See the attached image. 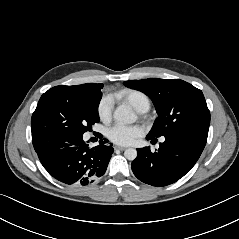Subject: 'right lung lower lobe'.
I'll use <instances>...</instances> for the list:
<instances>
[{
	"mask_svg": "<svg viewBox=\"0 0 239 239\" xmlns=\"http://www.w3.org/2000/svg\"><path fill=\"white\" fill-rule=\"evenodd\" d=\"M100 140L96 147H88L83 135H57L35 150L44 168L55 179L71 185H87L101 177L108 166L113 148Z\"/></svg>",
	"mask_w": 239,
	"mask_h": 239,
	"instance_id": "98d812e1",
	"label": "right lung lower lobe"
}]
</instances>
